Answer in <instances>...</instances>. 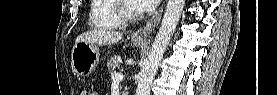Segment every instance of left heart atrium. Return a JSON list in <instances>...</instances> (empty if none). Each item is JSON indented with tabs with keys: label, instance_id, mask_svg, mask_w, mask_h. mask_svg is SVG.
<instances>
[{
	"label": "left heart atrium",
	"instance_id": "left-heart-atrium-1",
	"mask_svg": "<svg viewBox=\"0 0 277 95\" xmlns=\"http://www.w3.org/2000/svg\"><path fill=\"white\" fill-rule=\"evenodd\" d=\"M136 2L141 10L150 11L159 4L160 0H137Z\"/></svg>",
	"mask_w": 277,
	"mask_h": 95
}]
</instances>
